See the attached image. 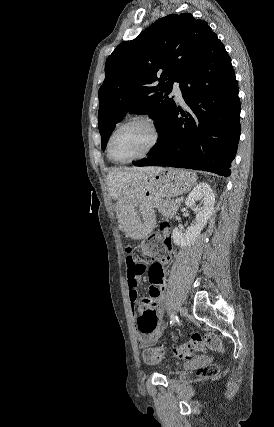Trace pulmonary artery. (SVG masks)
Returning a JSON list of instances; mask_svg holds the SVG:
<instances>
[{"instance_id": "obj_1", "label": "pulmonary artery", "mask_w": 274, "mask_h": 427, "mask_svg": "<svg viewBox=\"0 0 274 427\" xmlns=\"http://www.w3.org/2000/svg\"><path fill=\"white\" fill-rule=\"evenodd\" d=\"M172 94L174 95L176 101H178L180 103H182L184 101L182 91H181L178 84L173 85Z\"/></svg>"}]
</instances>
